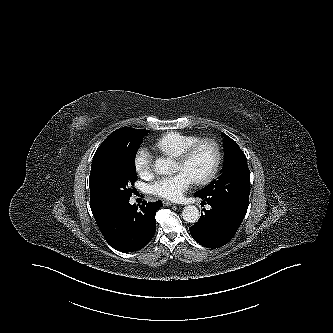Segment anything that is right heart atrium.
<instances>
[{"mask_svg": "<svg viewBox=\"0 0 333 333\" xmlns=\"http://www.w3.org/2000/svg\"><path fill=\"white\" fill-rule=\"evenodd\" d=\"M134 167L136 172L142 177H147L152 173L153 156L147 148L140 147L136 151L134 155Z\"/></svg>", "mask_w": 333, "mask_h": 333, "instance_id": "d8ad5b80", "label": "right heart atrium"}]
</instances>
